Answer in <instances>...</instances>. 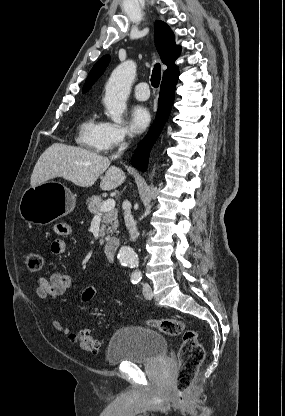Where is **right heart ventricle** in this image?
Here are the masks:
<instances>
[{
	"label": "right heart ventricle",
	"mask_w": 285,
	"mask_h": 416,
	"mask_svg": "<svg viewBox=\"0 0 285 416\" xmlns=\"http://www.w3.org/2000/svg\"><path fill=\"white\" fill-rule=\"evenodd\" d=\"M102 129V119L96 112L87 115L79 128L78 142L80 145L98 151V137Z\"/></svg>",
	"instance_id": "1"
}]
</instances>
